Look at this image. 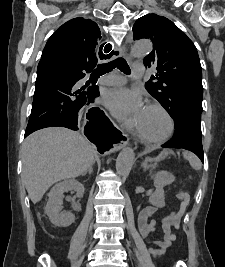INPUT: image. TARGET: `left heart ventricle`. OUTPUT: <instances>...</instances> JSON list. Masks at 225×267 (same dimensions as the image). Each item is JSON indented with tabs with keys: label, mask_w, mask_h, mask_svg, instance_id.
Here are the masks:
<instances>
[{
	"label": "left heart ventricle",
	"mask_w": 225,
	"mask_h": 267,
	"mask_svg": "<svg viewBox=\"0 0 225 267\" xmlns=\"http://www.w3.org/2000/svg\"><path fill=\"white\" fill-rule=\"evenodd\" d=\"M136 126L150 139L162 138L169 131L167 117L161 111L152 108L144 109Z\"/></svg>",
	"instance_id": "1"
}]
</instances>
